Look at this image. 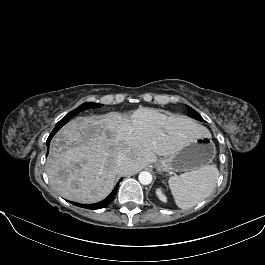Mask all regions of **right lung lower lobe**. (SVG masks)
I'll return each instance as SVG.
<instances>
[{
  "label": "right lung lower lobe",
  "mask_w": 265,
  "mask_h": 265,
  "mask_svg": "<svg viewBox=\"0 0 265 265\" xmlns=\"http://www.w3.org/2000/svg\"><path fill=\"white\" fill-rule=\"evenodd\" d=\"M61 127L57 126L53 129V131L51 132V134L49 135L48 139H47V148H48V151H49V145H50V141L52 139V137L56 134V132L60 129ZM48 151H47V154H48ZM122 179L119 180V182L117 183V185L115 186V188L113 189V191L110 193V195L104 199L103 201L101 202H98V203H94V204H80V203H76V202H71L72 204L76 205V206H79V207H82V208H87V209H100V208H103V207H106L112 200L113 198L115 197V194L117 192V189H118V186H119V183Z\"/></svg>",
  "instance_id": "98d812e1"
}]
</instances>
